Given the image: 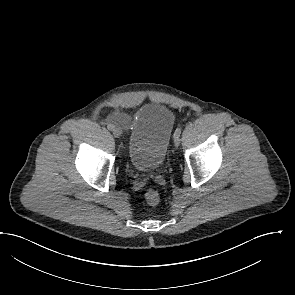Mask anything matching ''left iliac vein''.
<instances>
[{
  "label": "left iliac vein",
  "mask_w": 295,
  "mask_h": 295,
  "mask_svg": "<svg viewBox=\"0 0 295 295\" xmlns=\"http://www.w3.org/2000/svg\"><path fill=\"white\" fill-rule=\"evenodd\" d=\"M180 143V139H179V136H175L174 137V145L177 147Z\"/></svg>",
  "instance_id": "4c4485c4"
}]
</instances>
